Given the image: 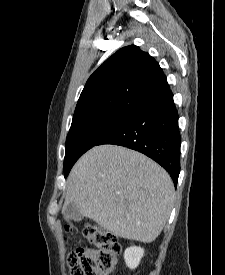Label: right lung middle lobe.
<instances>
[{
	"instance_id": "right-lung-middle-lobe-1",
	"label": "right lung middle lobe",
	"mask_w": 225,
	"mask_h": 275,
	"mask_svg": "<svg viewBox=\"0 0 225 275\" xmlns=\"http://www.w3.org/2000/svg\"><path fill=\"white\" fill-rule=\"evenodd\" d=\"M128 113L103 112L72 121L66 139L64 176L67 177L77 159L107 135Z\"/></svg>"
}]
</instances>
